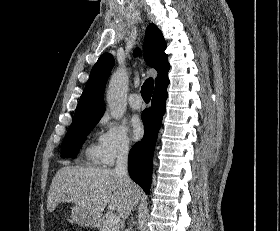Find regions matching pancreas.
Here are the masks:
<instances>
[{
  "label": "pancreas",
  "mask_w": 280,
  "mask_h": 231,
  "mask_svg": "<svg viewBox=\"0 0 280 231\" xmlns=\"http://www.w3.org/2000/svg\"><path fill=\"white\" fill-rule=\"evenodd\" d=\"M96 227H99V231H119L118 223L117 225L116 223H109V221H107V217H100Z\"/></svg>",
  "instance_id": "obj_1"
}]
</instances>
